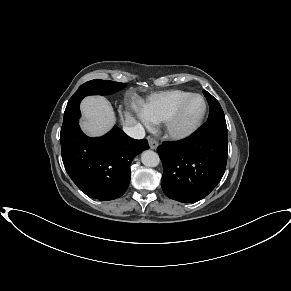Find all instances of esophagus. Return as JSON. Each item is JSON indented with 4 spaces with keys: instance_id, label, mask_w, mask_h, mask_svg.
I'll return each instance as SVG.
<instances>
[{
    "instance_id": "esophagus-1",
    "label": "esophagus",
    "mask_w": 291,
    "mask_h": 291,
    "mask_svg": "<svg viewBox=\"0 0 291 291\" xmlns=\"http://www.w3.org/2000/svg\"><path fill=\"white\" fill-rule=\"evenodd\" d=\"M148 143L150 149H156L158 147V141L153 137H148Z\"/></svg>"
}]
</instances>
